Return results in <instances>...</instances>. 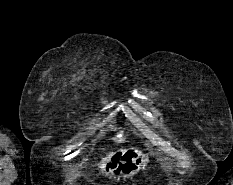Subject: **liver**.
Listing matches in <instances>:
<instances>
[{
    "label": "liver",
    "mask_w": 233,
    "mask_h": 185,
    "mask_svg": "<svg viewBox=\"0 0 233 185\" xmlns=\"http://www.w3.org/2000/svg\"><path fill=\"white\" fill-rule=\"evenodd\" d=\"M113 154V152L109 153L106 157L102 158L101 163L98 164V167L103 171L105 168V165L107 163V161L109 160V158L111 157V155Z\"/></svg>",
    "instance_id": "6515ba94"
}]
</instances>
